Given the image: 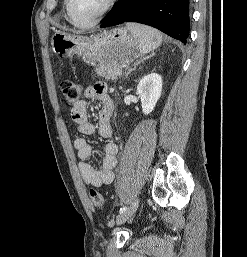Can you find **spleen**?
Returning a JSON list of instances; mask_svg holds the SVG:
<instances>
[{"mask_svg":"<svg viewBox=\"0 0 247 257\" xmlns=\"http://www.w3.org/2000/svg\"><path fill=\"white\" fill-rule=\"evenodd\" d=\"M126 27L136 39L137 48L142 54L155 50L162 42V34L152 27L137 23H127Z\"/></svg>","mask_w":247,"mask_h":257,"instance_id":"obj_1","label":"spleen"}]
</instances>
